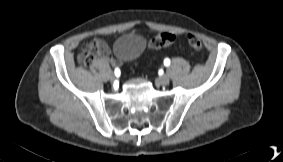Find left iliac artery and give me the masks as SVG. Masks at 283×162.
Returning a JSON list of instances; mask_svg holds the SVG:
<instances>
[{
    "label": "left iliac artery",
    "mask_w": 283,
    "mask_h": 162,
    "mask_svg": "<svg viewBox=\"0 0 283 162\" xmlns=\"http://www.w3.org/2000/svg\"><path fill=\"white\" fill-rule=\"evenodd\" d=\"M164 65H165V66L170 65V60H169L168 58H166V59L164 60Z\"/></svg>",
    "instance_id": "left-iliac-artery-1"
}]
</instances>
